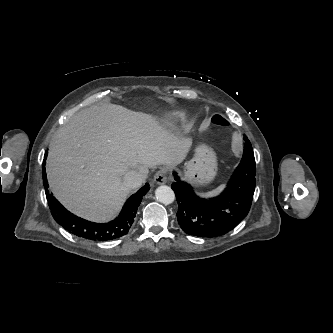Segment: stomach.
Returning <instances> with one entry per match:
<instances>
[{
    "label": "stomach",
    "mask_w": 333,
    "mask_h": 333,
    "mask_svg": "<svg viewBox=\"0 0 333 333\" xmlns=\"http://www.w3.org/2000/svg\"><path fill=\"white\" fill-rule=\"evenodd\" d=\"M217 173L216 155L213 149L205 144L195 148V156L185 163L184 176L197 186L211 182Z\"/></svg>",
    "instance_id": "0dacf381"
}]
</instances>
